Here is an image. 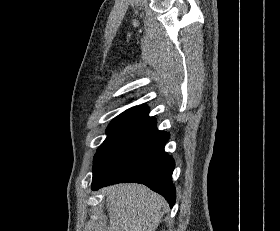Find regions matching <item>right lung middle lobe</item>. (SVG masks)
<instances>
[{"instance_id": "obj_1", "label": "right lung middle lobe", "mask_w": 280, "mask_h": 231, "mask_svg": "<svg viewBox=\"0 0 280 231\" xmlns=\"http://www.w3.org/2000/svg\"><path fill=\"white\" fill-rule=\"evenodd\" d=\"M131 123L128 122H121V121H112L110 125L107 128V138L102 143V145L98 148L97 153L95 156L111 141H113L115 138H117L119 135L133 127Z\"/></svg>"}]
</instances>
